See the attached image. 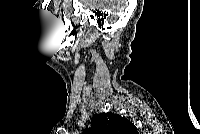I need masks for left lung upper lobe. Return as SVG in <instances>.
Wrapping results in <instances>:
<instances>
[{
  "label": "left lung upper lobe",
  "instance_id": "5c2ea615",
  "mask_svg": "<svg viewBox=\"0 0 200 134\" xmlns=\"http://www.w3.org/2000/svg\"><path fill=\"white\" fill-rule=\"evenodd\" d=\"M91 125L84 134H138L133 123L114 113L94 115Z\"/></svg>",
  "mask_w": 200,
  "mask_h": 134
}]
</instances>
